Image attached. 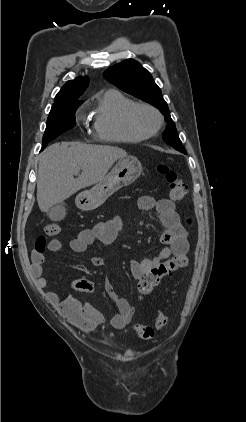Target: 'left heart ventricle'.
<instances>
[{"label": "left heart ventricle", "instance_id": "b2bd125f", "mask_svg": "<svg viewBox=\"0 0 246 422\" xmlns=\"http://www.w3.org/2000/svg\"><path fill=\"white\" fill-rule=\"evenodd\" d=\"M139 120L141 125L146 130H153L157 125V118L156 116L148 111V110H142L139 114Z\"/></svg>", "mask_w": 246, "mask_h": 422}]
</instances>
